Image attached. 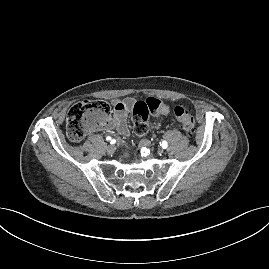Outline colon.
<instances>
[{
	"mask_svg": "<svg viewBox=\"0 0 269 269\" xmlns=\"http://www.w3.org/2000/svg\"><path fill=\"white\" fill-rule=\"evenodd\" d=\"M109 112V105L101 100H84L74 104L69 109L66 119L67 136L72 141L82 140L90 131L99 128L105 122ZM169 113H172L185 132L189 135L194 134L195 120L187 109L182 106L170 109L155 98H148L134 104L132 119L135 133L144 135L148 131L150 114Z\"/></svg>",
	"mask_w": 269,
	"mask_h": 269,
	"instance_id": "1",
	"label": "colon"
}]
</instances>
